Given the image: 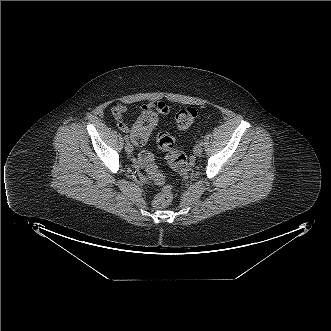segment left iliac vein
I'll use <instances>...</instances> for the list:
<instances>
[{"instance_id": "4c4485c4", "label": "left iliac vein", "mask_w": 331, "mask_h": 331, "mask_svg": "<svg viewBox=\"0 0 331 331\" xmlns=\"http://www.w3.org/2000/svg\"><path fill=\"white\" fill-rule=\"evenodd\" d=\"M203 151L202 145L196 144L193 148V152L196 156H200Z\"/></svg>"}]
</instances>
